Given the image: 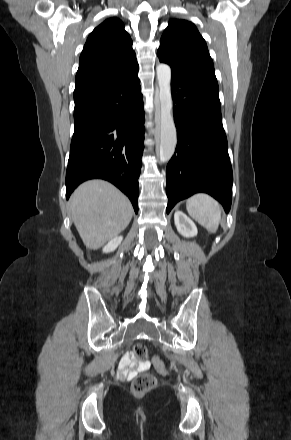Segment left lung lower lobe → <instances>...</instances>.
<instances>
[{
  "label": "left lung lower lobe",
  "mask_w": 291,
  "mask_h": 440,
  "mask_svg": "<svg viewBox=\"0 0 291 440\" xmlns=\"http://www.w3.org/2000/svg\"><path fill=\"white\" fill-rule=\"evenodd\" d=\"M171 70L178 142L166 169V212L168 214L178 201L197 192L210 194L229 212L233 175L217 80Z\"/></svg>",
  "instance_id": "0a47b994"
}]
</instances>
